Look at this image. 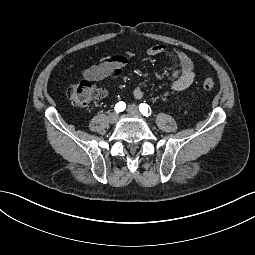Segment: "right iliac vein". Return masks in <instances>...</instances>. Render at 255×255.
<instances>
[{"instance_id": "right-iliac-vein-1", "label": "right iliac vein", "mask_w": 255, "mask_h": 255, "mask_svg": "<svg viewBox=\"0 0 255 255\" xmlns=\"http://www.w3.org/2000/svg\"><path fill=\"white\" fill-rule=\"evenodd\" d=\"M117 120H118V115L116 114V113H111L110 115H109V122L110 123H116L117 122Z\"/></svg>"}]
</instances>
